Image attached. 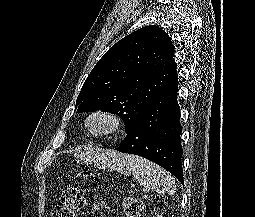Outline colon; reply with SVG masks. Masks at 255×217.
<instances>
[{
  "label": "colon",
  "mask_w": 255,
  "mask_h": 217,
  "mask_svg": "<svg viewBox=\"0 0 255 217\" xmlns=\"http://www.w3.org/2000/svg\"><path fill=\"white\" fill-rule=\"evenodd\" d=\"M84 205L83 194L76 188H68L63 192L61 202L53 209L52 217H75ZM142 207V201L138 197L129 196L123 200L126 217H138Z\"/></svg>",
  "instance_id": "1"
}]
</instances>
